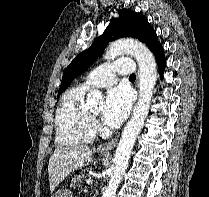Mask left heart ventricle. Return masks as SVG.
<instances>
[{
	"label": "left heart ventricle",
	"mask_w": 209,
	"mask_h": 197,
	"mask_svg": "<svg viewBox=\"0 0 209 197\" xmlns=\"http://www.w3.org/2000/svg\"><path fill=\"white\" fill-rule=\"evenodd\" d=\"M99 111H100L99 109H96V110H93L92 113L97 114Z\"/></svg>",
	"instance_id": "left-heart-ventricle-1"
}]
</instances>
